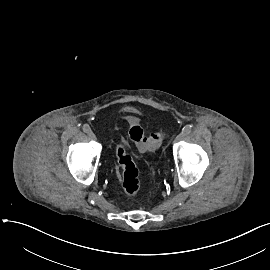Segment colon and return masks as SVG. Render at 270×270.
Instances as JSON below:
<instances>
[{
  "label": "colon",
  "mask_w": 270,
  "mask_h": 270,
  "mask_svg": "<svg viewBox=\"0 0 270 270\" xmlns=\"http://www.w3.org/2000/svg\"><path fill=\"white\" fill-rule=\"evenodd\" d=\"M128 134L132 142L140 152L152 151L159 148L164 139V132L155 131L145 133L143 127L136 121L131 120ZM117 173L124 194L129 198L139 195L141 186L138 179V170L126 148V142L121 140L116 147Z\"/></svg>",
  "instance_id": "obj_1"
}]
</instances>
